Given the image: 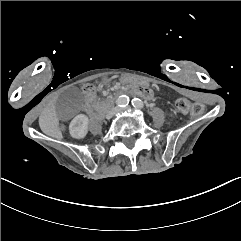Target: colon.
Wrapping results in <instances>:
<instances>
[{"instance_id":"colon-1","label":"colon","mask_w":241,"mask_h":241,"mask_svg":"<svg viewBox=\"0 0 241 241\" xmlns=\"http://www.w3.org/2000/svg\"><path fill=\"white\" fill-rule=\"evenodd\" d=\"M177 109L185 114L192 113L194 116L199 117L204 112V105L202 103L191 104L186 99H179L176 103Z\"/></svg>"}]
</instances>
